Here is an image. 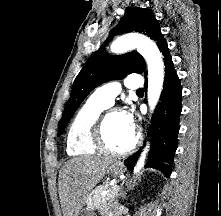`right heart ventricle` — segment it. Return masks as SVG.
<instances>
[{
	"instance_id": "1",
	"label": "right heart ventricle",
	"mask_w": 221,
	"mask_h": 216,
	"mask_svg": "<svg viewBox=\"0 0 221 216\" xmlns=\"http://www.w3.org/2000/svg\"><path fill=\"white\" fill-rule=\"evenodd\" d=\"M107 107L91 97L80 108L67 132L66 150L69 155L87 156L98 151L93 140L94 128Z\"/></svg>"
}]
</instances>
